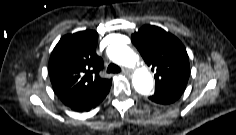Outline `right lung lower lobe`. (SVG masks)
<instances>
[{"label": "right lung lower lobe", "instance_id": "obj_1", "mask_svg": "<svg viewBox=\"0 0 236 135\" xmlns=\"http://www.w3.org/2000/svg\"><path fill=\"white\" fill-rule=\"evenodd\" d=\"M110 87L111 82L92 95L80 98L64 99L62 100V102L74 111L87 112L90 111L92 108H95L107 96Z\"/></svg>", "mask_w": 236, "mask_h": 135}]
</instances>
